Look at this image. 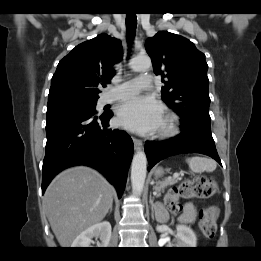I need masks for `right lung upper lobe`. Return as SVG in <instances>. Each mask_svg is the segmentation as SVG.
I'll use <instances>...</instances> for the list:
<instances>
[{
	"label": "right lung upper lobe",
	"instance_id": "obj_1",
	"mask_svg": "<svg viewBox=\"0 0 261 261\" xmlns=\"http://www.w3.org/2000/svg\"><path fill=\"white\" fill-rule=\"evenodd\" d=\"M122 55L121 41L107 34L77 45L59 62L48 99L59 95L98 99V85L110 82L115 75L112 67Z\"/></svg>",
	"mask_w": 261,
	"mask_h": 261
}]
</instances>
